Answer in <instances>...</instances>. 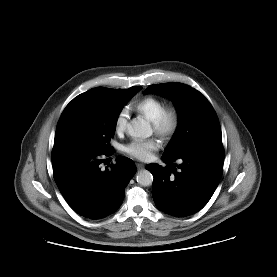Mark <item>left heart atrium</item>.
Here are the masks:
<instances>
[{"instance_id": "39dd6f15", "label": "left heart atrium", "mask_w": 277, "mask_h": 277, "mask_svg": "<svg viewBox=\"0 0 277 277\" xmlns=\"http://www.w3.org/2000/svg\"><path fill=\"white\" fill-rule=\"evenodd\" d=\"M160 143L157 139L134 140L128 143L124 150L127 154L139 160H149L154 151L158 150Z\"/></svg>"}]
</instances>
